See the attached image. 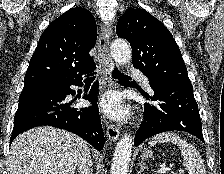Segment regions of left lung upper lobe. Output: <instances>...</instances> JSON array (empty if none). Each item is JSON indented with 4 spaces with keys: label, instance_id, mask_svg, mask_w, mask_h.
Here are the masks:
<instances>
[{
    "label": "left lung upper lobe",
    "instance_id": "1",
    "mask_svg": "<svg viewBox=\"0 0 224 174\" xmlns=\"http://www.w3.org/2000/svg\"><path fill=\"white\" fill-rule=\"evenodd\" d=\"M116 33L128 40L133 66L147 76L149 82L191 85L172 34L149 12L128 8L118 20Z\"/></svg>",
    "mask_w": 224,
    "mask_h": 174
}]
</instances>
